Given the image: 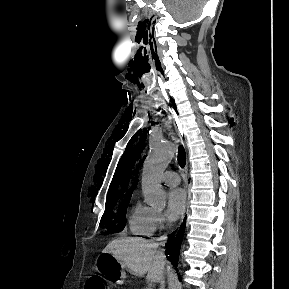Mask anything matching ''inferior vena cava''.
<instances>
[{"label":"inferior vena cava","mask_w":289,"mask_h":289,"mask_svg":"<svg viewBox=\"0 0 289 289\" xmlns=\"http://www.w3.org/2000/svg\"><path fill=\"white\" fill-rule=\"evenodd\" d=\"M166 239H167V237L164 236L162 242L160 243V245H164L165 242H166ZM157 256H158L159 259L161 260L162 264H164L165 255H164V252H163L162 249H159V250L157 251ZM159 283H160V289H165V281H164L163 276L160 278Z\"/></svg>","instance_id":"inferior-vena-cava-1"}]
</instances>
